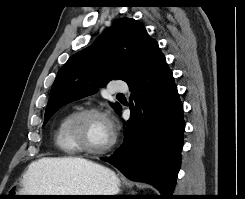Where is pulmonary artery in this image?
<instances>
[{
  "label": "pulmonary artery",
  "mask_w": 245,
  "mask_h": 199,
  "mask_svg": "<svg viewBox=\"0 0 245 199\" xmlns=\"http://www.w3.org/2000/svg\"><path fill=\"white\" fill-rule=\"evenodd\" d=\"M110 93H122L128 91V86L125 82L116 81L109 87Z\"/></svg>",
  "instance_id": "pulmonary-artery-1"
}]
</instances>
